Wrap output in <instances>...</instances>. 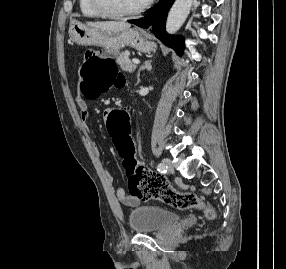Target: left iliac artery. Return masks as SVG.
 I'll list each match as a JSON object with an SVG mask.
<instances>
[{"label": "left iliac artery", "mask_w": 286, "mask_h": 269, "mask_svg": "<svg viewBox=\"0 0 286 269\" xmlns=\"http://www.w3.org/2000/svg\"><path fill=\"white\" fill-rule=\"evenodd\" d=\"M157 170L161 173H166L167 172V166H165L164 164L160 163L157 166Z\"/></svg>", "instance_id": "left-iliac-artery-1"}]
</instances>
